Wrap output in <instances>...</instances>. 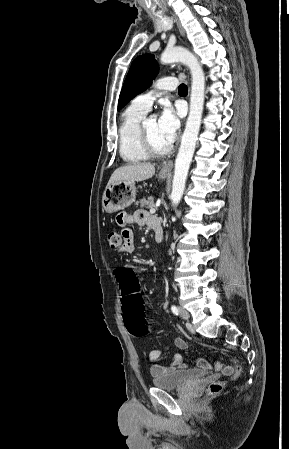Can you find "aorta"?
I'll return each instance as SVG.
<instances>
[{
  "instance_id": "obj_1",
  "label": "aorta",
  "mask_w": 289,
  "mask_h": 449,
  "mask_svg": "<svg viewBox=\"0 0 289 449\" xmlns=\"http://www.w3.org/2000/svg\"><path fill=\"white\" fill-rule=\"evenodd\" d=\"M162 63L181 62L189 69L192 77L190 110L175 160L171 200L178 205L185 190L186 178L195 151L201 125L204 105L205 76L197 57L182 47L166 49L161 55Z\"/></svg>"
}]
</instances>
